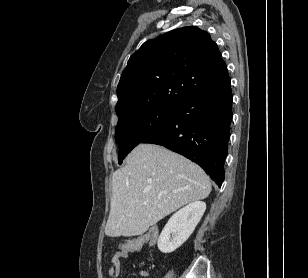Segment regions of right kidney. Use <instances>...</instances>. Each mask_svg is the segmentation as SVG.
Wrapping results in <instances>:
<instances>
[{"label": "right kidney", "mask_w": 308, "mask_h": 278, "mask_svg": "<svg viewBox=\"0 0 308 278\" xmlns=\"http://www.w3.org/2000/svg\"><path fill=\"white\" fill-rule=\"evenodd\" d=\"M205 210V202L195 201L172 215L158 238V249L171 253L179 248L193 233Z\"/></svg>", "instance_id": "right-kidney-1"}]
</instances>
